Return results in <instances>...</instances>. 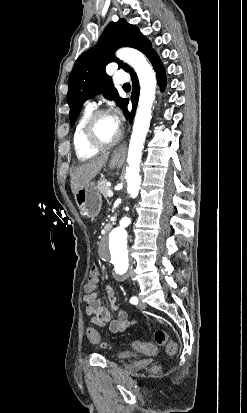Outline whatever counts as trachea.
I'll return each mask as SVG.
<instances>
[{"label":"trachea","instance_id":"obj_1","mask_svg":"<svg viewBox=\"0 0 247 413\" xmlns=\"http://www.w3.org/2000/svg\"><path fill=\"white\" fill-rule=\"evenodd\" d=\"M123 89H124V90H130V89H131L130 83H124Z\"/></svg>","mask_w":247,"mask_h":413}]
</instances>
